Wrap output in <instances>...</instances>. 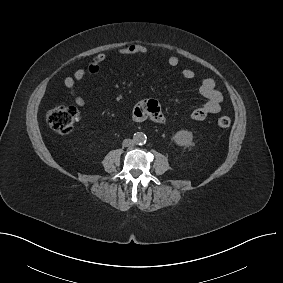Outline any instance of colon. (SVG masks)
I'll return each mask as SVG.
<instances>
[{"label": "colon", "instance_id": "5ec220e1", "mask_svg": "<svg viewBox=\"0 0 283 283\" xmlns=\"http://www.w3.org/2000/svg\"><path fill=\"white\" fill-rule=\"evenodd\" d=\"M47 122L49 126L59 134H68L78 121V112L72 106H57L47 113ZM217 124L221 128H228L231 125V118L221 116L217 120Z\"/></svg>", "mask_w": 283, "mask_h": 283}]
</instances>
